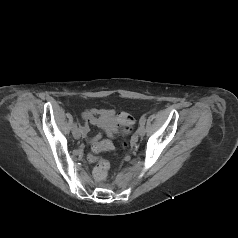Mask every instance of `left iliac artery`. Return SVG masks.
<instances>
[{"label": "left iliac artery", "instance_id": "obj_1", "mask_svg": "<svg viewBox=\"0 0 238 238\" xmlns=\"http://www.w3.org/2000/svg\"><path fill=\"white\" fill-rule=\"evenodd\" d=\"M145 122H146V116L143 115V116L140 118L139 123H140V125H145Z\"/></svg>", "mask_w": 238, "mask_h": 238}]
</instances>
